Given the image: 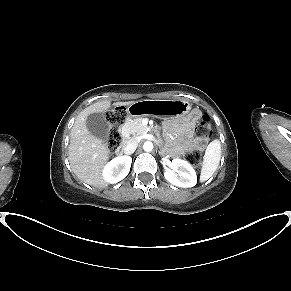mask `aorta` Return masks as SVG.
<instances>
[{
  "label": "aorta",
  "instance_id": "1",
  "mask_svg": "<svg viewBox=\"0 0 291 291\" xmlns=\"http://www.w3.org/2000/svg\"><path fill=\"white\" fill-rule=\"evenodd\" d=\"M143 149L146 151V152H150L153 150V143L150 142V141H146L144 144H143Z\"/></svg>",
  "mask_w": 291,
  "mask_h": 291
}]
</instances>
